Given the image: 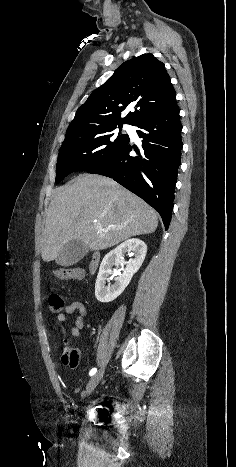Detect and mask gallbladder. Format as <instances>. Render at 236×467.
Segmentation results:
<instances>
[{"label": "gallbladder", "instance_id": "gallbladder-1", "mask_svg": "<svg viewBox=\"0 0 236 467\" xmlns=\"http://www.w3.org/2000/svg\"><path fill=\"white\" fill-rule=\"evenodd\" d=\"M88 251V246L82 241L72 240L60 250L55 261L60 266H72L80 261Z\"/></svg>", "mask_w": 236, "mask_h": 467}]
</instances>
